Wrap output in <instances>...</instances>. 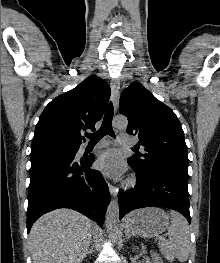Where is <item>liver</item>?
<instances>
[{
	"label": "liver",
	"instance_id": "6515ba94",
	"mask_svg": "<svg viewBox=\"0 0 220 263\" xmlns=\"http://www.w3.org/2000/svg\"><path fill=\"white\" fill-rule=\"evenodd\" d=\"M97 226L83 214L57 209L32 226L29 245L33 263H80Z\"/></svg>",
	"mask_w": 220,
	"mask_h": 263
}]
</instances>
